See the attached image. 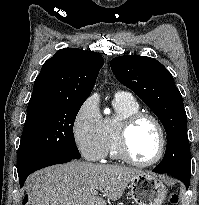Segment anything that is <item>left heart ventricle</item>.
Returning <instances> with one entry per match:
<instances>
[{
  "mask_svg": "<svg viewBox=\"0 0 199 205\" xmlns=\"http://www.w3.org/2000/svg\"><path fill=\"white\" fill-rule=\"evenodd\" d=\"M159 145L158 130L149 120L139 121L130 131L129 151L140 162L152 160L158 153Z\"/></svg>",
  "mask_w": 199,
  "mask_h": 205,
  "instance_id": "obj_1",
  "label": "left heart ventricle"
}]
</instances>
